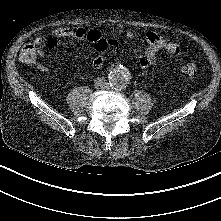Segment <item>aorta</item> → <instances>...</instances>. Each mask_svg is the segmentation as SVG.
<instances>
[{
    "mask_svg": "<svg viewBox=\"0 0 221 221\" xmlns=\"http://www.w3.org/2000/svg\"><path fill=\"white\" fill-rule=\"evenodd\" d=\"M110 85L117 90L126 88L131 82V75L124 67L112 69L108 74Z\"/></svg>",
    "mask_w": 221,
    "mask_h": 221,
    "instance_id": "aorta-1",
    "label": "aorta"
}]
</instances>
